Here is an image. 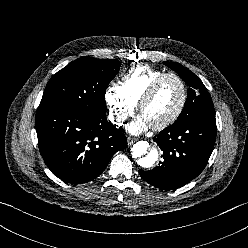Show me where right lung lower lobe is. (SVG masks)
Listing matches in <instances>:
<instances>
[{
	"label": "right lung lower lobe",
	"instance_id": "obj_1",
	"mask_svg": "<svg viewBox=\"0 0 248 248\" xmlns=\"http://www.w3.org/2000/svg\"><path fill=\"white\" fill-rule=\"evenodd\" d=\"M38 146L44 162L58 178L83 184L97 178L126 136L105 115L62 106L38 107Z\"/></svg>",
	"mask_w": 248,
	"mask_h": 248
}]
</instances>
